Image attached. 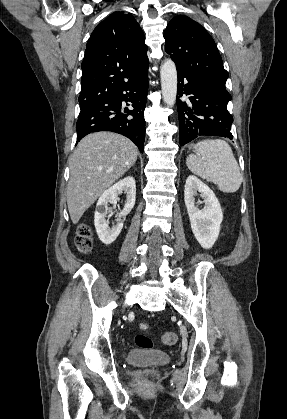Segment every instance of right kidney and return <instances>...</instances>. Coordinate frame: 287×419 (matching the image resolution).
Masks as SVG:
<instances>
[{
  "label": "right kidney",
  "instance_id": "1",
  "mask_svg": "<svg viewBox=\"0 0 287 419\" xmlns=\"http://www.w3.org/2000/svg\"><path fill=\"white\" fill-rule=\"evenodd\" d=\"M126 194V203L123 210L117 214V224L109 227V223L106 220L107 214L112 213V210H109L108 204L111 203L115 205L118 200V195L122 192ZM136 200V184L135 179L131 176H128L109 189L103 192L100 196L94 215V224L98 234L99 239L102 243L109 245L116 240L123 228L122 217L128 215L132 208L135 205Z\"/></svg>",
  "mask_w": 287,
  "mask_h": 419
}]
</instances>
